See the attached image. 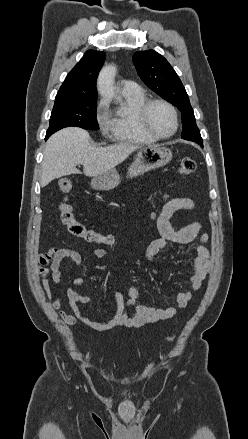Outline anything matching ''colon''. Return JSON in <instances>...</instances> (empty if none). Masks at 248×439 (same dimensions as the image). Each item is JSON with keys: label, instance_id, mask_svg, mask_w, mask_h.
<instances>
[{"label": "colon", "instance_id": "1", "mask_svg": "<svg viewBox=\"0 0 248 439\" xmlns=\"http://www.w3.org/2000/svg\"><path fill=\"white\" fill-rule=\"evenodd\" d=\"M195 169L196 162L191 158H184L179 164V173L184 177L190 176ZM58 187L62 193H68L72 189V180L67 177L62 178L59 180ZM59 209L63 224L73 236L98 246H113L116 244V237L112 233L87 228L77 220L73 207L67 198L63 199ZM174 338L175 336H170L167 341L171 342Z\"/></svg>", "mask_w": 248, "mask_h": 439}]
</instances>
